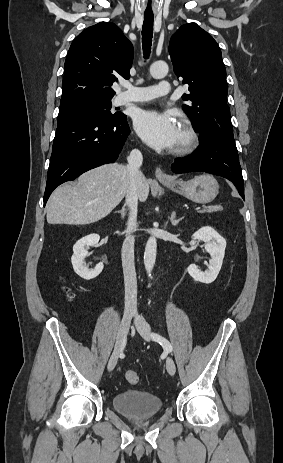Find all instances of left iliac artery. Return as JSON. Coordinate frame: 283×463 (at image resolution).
<instances>
[{
    "mask_svg": "<svg viewBox=\"0 0 283 463\" xmlns=\"http://www.w3.org/2000/svg\"><path fill=\"white\" fill-rule=\"evenodd\" d=\"M151 337L154 341L158 342L166 351L172 352L173 348L170 342L157 333H152Z\"/></svg>",
    "mask_w": 283,
    "mask_h": 463,
    "instance_id": "44dca946",
    "label": "left iliac artery"
}]
</instances>
